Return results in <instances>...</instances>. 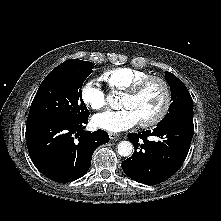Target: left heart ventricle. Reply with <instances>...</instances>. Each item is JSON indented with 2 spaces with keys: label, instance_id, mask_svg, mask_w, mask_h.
Returning a JSON list of instances; mask_svg holds the SVG:
<instances>
[{
  "label": "left heart ventricle",
  "instance_id": "1",
  "mask_svg": "<svg viewBox=\"0 0 221 221\" xmlns=\"http://www.w3.org/2000/svg\"><path fill=\"white\" fill-rule=\"evenodd\" d=\"M164 89L159 82L149 83L137 97L124 96L121 101L122 108L131 109L139 121L154 117L164 102Z\"/></svg>",
  "mask_w": 221,
  "mask_h": 221
}]
</instances>
